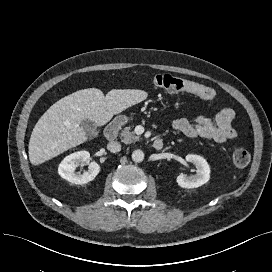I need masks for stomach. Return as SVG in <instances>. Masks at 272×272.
Instances as JSON below:
<instances>
[{
  "label": "stomach",
  "instance_id": "obj_1",
  "mask_svg": "<svg viewBox=\"0 0 272 272\" xmlns=\"http://www.w3.org/2000/svg\"><path fill=\"white\" fill-rule=\"evenodd\" d=\"M120 120H121V122H127L128 118L124 116V117H121Z\"/></svg>",
  "mask_w": 272,
  "mask_h": 272
}]
</instances>
